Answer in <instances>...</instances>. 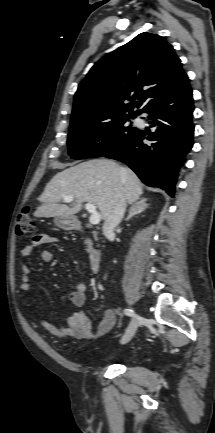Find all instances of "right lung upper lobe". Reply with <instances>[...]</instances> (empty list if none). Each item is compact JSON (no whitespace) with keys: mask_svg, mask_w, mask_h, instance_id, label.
<instances>
[{"mask_svg":"<svg viewBox=\"0 0 215 433\" xmlns=\"http://www.w3.org/2000/svg\"><path fill=\"white\" fill-rule=\"evenodd\" d=\"M188 81L173 47L157 34L141 33L91 68L75 94L71 125L137 116Z\"/></svg>","mask_w":215,"mask_h":433,"instance_id":"cb5924a9","label":"right lung upper lobe"}]
</instances>
